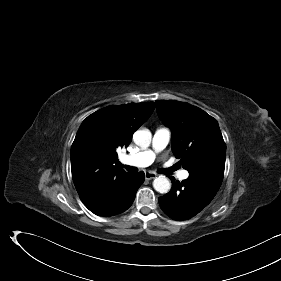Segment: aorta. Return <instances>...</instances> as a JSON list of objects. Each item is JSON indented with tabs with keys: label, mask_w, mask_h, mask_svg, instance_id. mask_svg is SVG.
<instances>
[{
	"label": "aorta",
	"mask_w": 281,
	"mask_h": 281,
	"mask_svg": "<svg viewBox=\"0 0 281 281\" xmlns=\"http://www.w3.org/2000/svg\"><path fill=\"white\" fill-rule=\"evenodd\" d=\"M152 139V134L148 129L137 130L133 134V140L141 148H147ZM154 189L159 193H167L171 189V183L165 176H159L153 181Z\"/></svg>",
	"instance_id": "762f6f07"
}]
</instances>
